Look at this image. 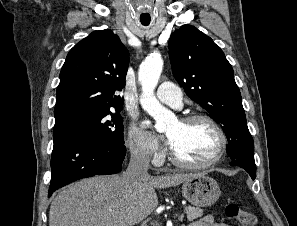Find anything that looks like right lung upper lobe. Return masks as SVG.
Returning <instances> with one entry per match:
<instances>
[{"label":"right lung upper lobe","mask_w":297,"mask_h":226,"mask_svg":"<svg viewBox=\"0 0 297 226\" xmlns=\"http://www.w3.org/2000/svg\"><path fill=\"white\" fill-rule=\"evenodd\" d=\"M129 53L111 30L94 31L68 53L60 72L55 120L83 112L121 110Z\"/></svg>","instance_id":"obj_1"}]
</instances>
